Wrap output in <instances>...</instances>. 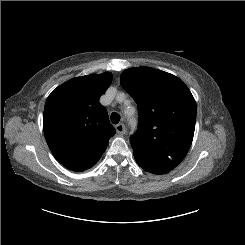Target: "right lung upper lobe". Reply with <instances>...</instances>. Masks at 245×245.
Here are the masks:
<instances>
[{
  "instance_id": "right-lung-upper-lobe-1",
  "label": "right lung upper lobe",
  "mask_w": 245,
  "mask_h": 245,
  "mask_svg": "<svg viewBox=\"0 0 245 245\" xmlns=\"http://www.w3.org/2000/svg\"><path fill=\"white\" fill-rule=\"evenodd\" d=\"M111 81L109 72L76 77L48 96L44 134L52 154L66 168L82 172L94 166L115 134L99 103Z\"/></svg>"
}]
</instances>
